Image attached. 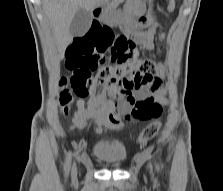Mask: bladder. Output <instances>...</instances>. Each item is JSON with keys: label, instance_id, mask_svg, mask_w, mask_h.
I'll return each instance as SVG.
<instances>
[{"label": "bladder", "instance_id": "31cf9c89", "mask_svg": "<svg viewBox=\"0 0 223 191\" xmlns=\"http://www.w3.org/2000/svg\"><path fill=\"white\" fill-rule=\"evenodd\" d=\"M93 156L106 166H120L126 160L127 147L118 139H101L93 146Z\"/></svg>", "mask_w": 223, "mask_h": 191}]
</instances>
